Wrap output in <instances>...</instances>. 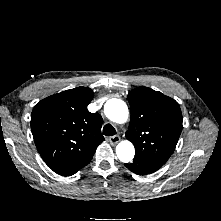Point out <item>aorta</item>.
Listing matches in <instances>:
<instances>
[{"label":"aorta","instance_id":"762f6f07","mask_svg":"<svg viewBox=\"0 0 221 221\" xmlns=\"http://www.w3.org/2000/svg\"><path fill=\"white\" fill-rule=\"evenodd\" d=\"M104 113L111 121L123 124L128 120L129 111L126 103L120 99H110L104 105ZM116 155L121 162L128 163L133 160L135 149L133 144L124 140L116 146Z\"/></svg>","mask_w":221,"mask_h":221}]
</instances>
